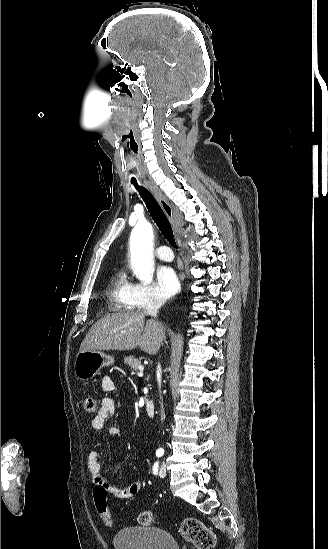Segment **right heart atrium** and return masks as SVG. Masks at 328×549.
I'll list each match as a JSON object with an SVG mask.
<instances>
[{"instance_id":"obj_1","label":"right heart atrium","mask_w":328,"mask_h":549,"mask_svg":"<svg viewBox=\"0 0 328 549\" xmlns=\"http://www.w3.org/2000/svg\"><path fill=\"white\" fill-rule=\"evenodd\" d=\"M137 290L143 303H164V298L153 283L138 284Z\"/></svg>"}]
</instances>
